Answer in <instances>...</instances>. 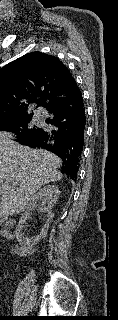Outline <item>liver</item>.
Wrapping results in <instances>:
<instances>
[{
	"mask_svg": "<svg viewBox=\"0 0 118 320\" xmlns=\"http://www.w3.org/2000/svg\"><path fill=\"white\" fill-rule=\"evenodd\" d=\"M61 163L50 151L23 146L0 132V215L23 212L39 188L62 178Z\"/></svg>",
	"mask_w": 118,
	"mask_h": 320,
	"instance_id": "6515ba94",
	"label": "liver"
}]
</instances>
